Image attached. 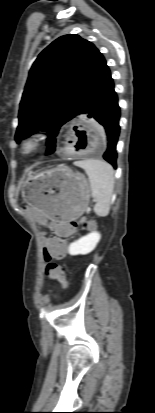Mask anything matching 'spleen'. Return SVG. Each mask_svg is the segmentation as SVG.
I'll return each instance as SVG.
<instances>
[{
  "mask_svg": "<svg viewBox=\"0 0 155 413\" xmlns=\"http://www.w3.org/2000/svg\"><path fill=\"white\" fill-rule=\"evenodd\" d=\"M88 175L91 195L96 204L93 208L96 215L106 217L110 211L114 189V170L110 164L99 159H85L74 162Z\"/></svg>",
  "mask_w": 155,
  "mask_h": 413,
  "instance_id": "1",
  "label": "spleen"
}]
</instances>
